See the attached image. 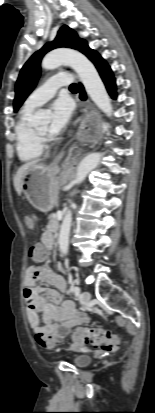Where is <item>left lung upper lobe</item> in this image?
<instances>
[{"label": "left lung upper lobe", "mask_w": 155, "mask_h": 413, "mask_svg": "<svg viewBox=\"0 0 155 413\" xmlns=\"http://www.w3.org/2000/svg\"><path fill=\"white\" fill-rule=\"evenodd\" d=\"M59 47L76 49L85 54L90 60H92L97 55V52L90 49L87 45V42L83 39H80L75 31H73L66 25L61 27L55 40L47 43L42 49L34 53L21 69L15 88V112L20 108L27 96L36 86L41 72L40 62L44 54L52 49Z\"/></svg>", "instance_id": "left-lung-upper-lobe-1"}]
</instances>
